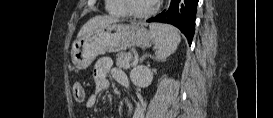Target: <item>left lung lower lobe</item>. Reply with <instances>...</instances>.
<instances>
[{"label":"left lung lower lobe","instance_id":"obj_1","mask_svg":"<svg viewBox=\"0 0 273 118\" xmlns=\"http://www.w3.org/2000/svg\"><path fill=\"white\" fill-rule=\"evenodd\" d=\"M198 0H170L167 9L147 22L169 23L181 30L191 45Z\"/></svg>","mask_w":273,"mask_h":118}]
</instances>
